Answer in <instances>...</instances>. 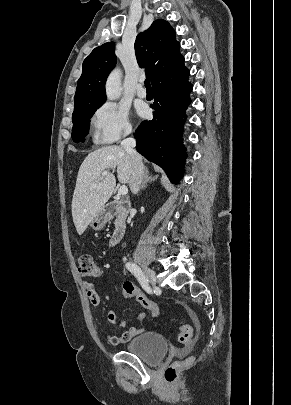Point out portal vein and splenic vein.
Segmentation results:
<instances>
[{
	"instance_id": "18ae733b",
	"label": "portal vein and splenic vein",
	"mask_w": 291,
	"mask_h": 405,
	"mask_svg": "<svg viewBox=\"0 0 291 405\" xmlns=\"http://www.w3.org/2000/svg\"><path fill=\"white\" fill-rule=\"evenodd\" d=\"M102 175H103V176H106V175H107V172H103ZM118 193H119V195H122V196L126 195V194L128 193V188H127V186L122 185V186L119 188Z\"/></svg>"
}]
</instances>
